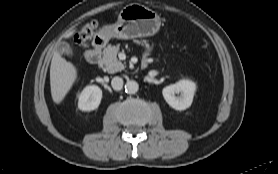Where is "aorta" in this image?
I'll list each match as a JSON object with an SVG mask.
<instances>
[{"label":"aorta","instance_id":"762f6f07","mask_svg":"<svg viewBox=\"0 0 278 174\" xmlns=\"http://www.w3.org/2000/svg\"><path fill=\"white\" fill-rule=\"evenodd\" d=\"M139 89V85L136 81L130 80L127 81L125 85V90L129 94H135Z\"/></svg>","mask_w":278,"mask_h":174}]
</instances>
